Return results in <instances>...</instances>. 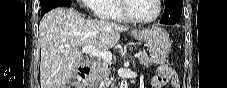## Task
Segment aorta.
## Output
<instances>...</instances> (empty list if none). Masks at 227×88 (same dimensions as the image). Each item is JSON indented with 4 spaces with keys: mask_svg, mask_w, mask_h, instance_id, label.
<instances>
[{
    "mask_svg": "<svg viewBox=\"0 0 227 88\" xmlns=\"http://www.w3.org/2000/svg\"><path fill=\"white\" fill-rule=\"evenodd\" d=\"M127 87H128L127 81L126 80H123L121 82L120 88H127Z\"/></svg>",
    "mask_w": 227,
    "mask_h": 88,
    "instance_id": "1",
    "label": "aorta"
}]
</instances>
